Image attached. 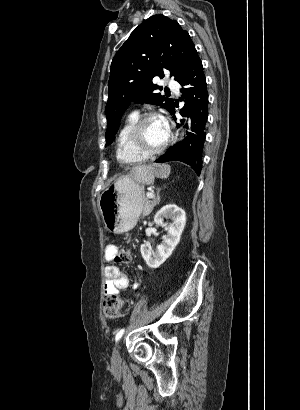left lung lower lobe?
Masks as SVG:
<instances>
[{
  "mask_svg": "<svg viewBox=\"0 0 300 410\" xmlns=\"http://www.w3.org/2000/svg\"><path fill=\"white\" fill-rule=\"evenodd\" d=\"M182 86L185 107L182 115L191 118L187 137L177 146L171 147L156 162L181 161L190 165L197 175L202 169V152L206 138L205 125L208 118V92L202 62L198 53L194 56L187 72L178 80ZM175 106L171 112L175 119Z\"/></svg>",
  "mask_w": 300,
  "mask_h": 410,
  "instance_id": "left-lung-lower-lobe-1",
  "label": "left lung lower lobe"
}]
</instances>
